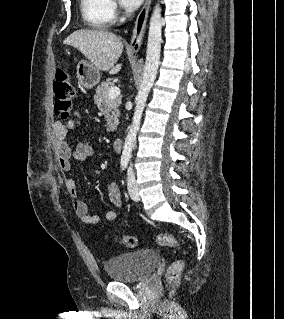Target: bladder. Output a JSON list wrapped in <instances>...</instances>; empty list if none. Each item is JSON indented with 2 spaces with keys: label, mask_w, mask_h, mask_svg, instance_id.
Instances as JSON below:
<instances>
[{
  "label": "bladder",
  "mask_w": 284,
  "mask_h": 319,
  "mask_svg": "<svg viewBox=\"0 0 284 319\" xmlns=\"http://www.w3.org/2000/svg\"><path fill=\"white\" fill-rule=\"evenodd\" d=\"M161 260L160 254L149 248L125 252L104 263L107 276L117 282H136L154 271Z\"/></svg>",
  "instance_id": "bladder-1"
}]
</instances>
